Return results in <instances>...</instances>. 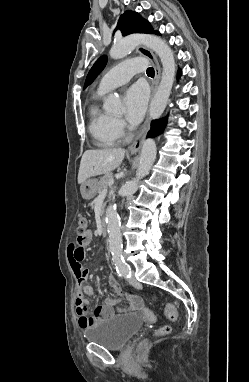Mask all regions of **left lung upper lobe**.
I'll use <instances>...</instances> for the list:
<instances>
[{"label": "left lung upper lobe", "mask_w": 249, "mask_h": 382, "mask_svg": "<svg viewBox=\"0 0 249 382\" xmlns=\"http://www.w3.org/2000/svg\"><path fill=\"white\" fill-rule=\"evenodd\" d=\"M117 29H120L122 35L126 36L132 33H156L152 30L150 23L144 20L138 13L132 11H126L120 16V19L117 24ZM107 63V57L101 56L92 66L91 70L88 73L84 88L91 84L95 78L100 74L104 69Z\"/></svg>", "instance_id": "obj_1"}]
</instances>
